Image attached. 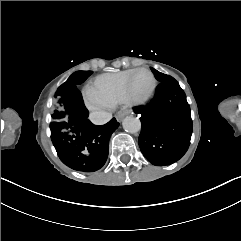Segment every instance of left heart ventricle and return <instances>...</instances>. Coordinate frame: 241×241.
Masks as SVG:
<instances>
[{
  "label": "left heart ventricle",
  "mask_w": 241,
  "mask_h": 241,
  "mask_svg": "<svg viewBox=\"0 0 241 241\" xmlns=\"http://www.w3.org/2000/svg\"><path fill=\"white\" fill-rule=\"evenodd\" d=\"M127 90L130 93H135L131 98L132 103L135 105L140 104L141 101L149 100L153 94L150 78L147 75H142L135 81L128 83Z\"/></svg>",
  "instance_id": "obj_1"
}]
</instances>
